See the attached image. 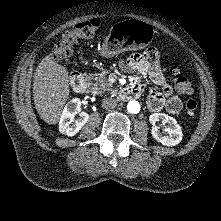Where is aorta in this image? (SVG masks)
Here are the masks:
<instances>
[{"instance_id": "obj_1", "label": "aorta", "mask_w": 221, "mask_h": 221, "mask_svg": "<svg viewBox=\"0 0 221 221\" xmlns=\"http://www.w3.org/2000/svg\"><path fill=\"white\" fill-rule=\"evenodd\" d=\"M127 109L130 113L137 114L140 111V104L138 101H129L127 104Z\"/></svg>"}]
</instances>
